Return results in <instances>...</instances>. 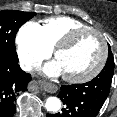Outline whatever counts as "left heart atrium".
I'll use <instances>...</instances> for the list:
<instances>
[{
    "mask_svg": "<svg viewBox=\"0 0 117 117\" xmlns=\"http://www.w3.org/2000/svg\"><path fill=\"white\" fill-rule=\"evenodd\" d=\"M43 72L46 75L51 76V77L58 76V75L62 74V70H61V68H60L57 60L52 61V62L46 64L43 67Z\"/></svg>",
    "mask_w": 117,
    "mask_h": 117,
    "instance_id": "left-heart-atrium-1",
    "label": "left heart atrium"
}]
</instances>
